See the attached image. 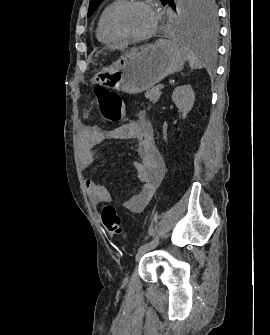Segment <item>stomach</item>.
<instances>
[{
  "mask_svg": "<svg viewBox=\"0 0 270 335\" xmlns=\"http://www.w3.org/2000/svg\"><path fill=\"white\" fill-rule=\"evenodd\" d=\"M185 54L171 40H156L155 44L133 48L125 52L110 68H103L94 82L126 94H140L150 90L169 74L180 72Z\"/></svg>",
  "mask_w": 270,
  "mask_h": 335,
  "instance_id": "1",
  "label": "stomach"
}]
</instances>
